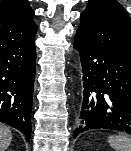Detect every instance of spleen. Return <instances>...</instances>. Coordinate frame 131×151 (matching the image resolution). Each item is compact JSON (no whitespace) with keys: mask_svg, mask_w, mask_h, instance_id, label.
Segmentation results:
<instances>
[{"mask_svg":"<svg viewBox=\"0 0 131 151\" xmlns=\"http://www.w3.org/2000/svg\"><path fill=\"white\" fill-rule=\"evenodd\" d=\"M108 142L115 151H131V139L121 135H113Z\"/></svg>","mask_w":131,"mask_h":151,"instance_id":"1","label":"spleen"}]
</instances>
